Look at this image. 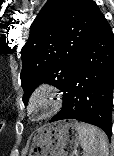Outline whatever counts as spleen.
<instances>
[{"instance_id": "spleen-1", "label": "spleen", "mask_w": 114, "mask_h": 156, "mask_svg": "<svg viewBox=\"0 0 114 156\" xmlns=\"http://www.w3.org/2000/svg\"><path fill=\"white\" fill-rule=\"evenodd\" d=\"M78 130L81 136L83 156H109L106 135L97 127L80 122Z\"/></svg>"}]
</instances>
